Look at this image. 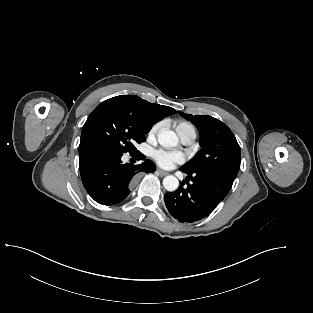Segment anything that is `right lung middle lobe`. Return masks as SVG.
<instances>
[{
    "mask_svg": "<svg viewBox=\"0 0 313 313\" xmlns=\"http://www.w3.org/2000/svg\"><path fill=\"white\" fill-rule=\"evenodd\" d=\"M151 129L132 107L118 101H104L84 125L85 143L89 147L112 148L130 154L134 144L145 141Z\"/></svg>",
    "mask_w": 313,
    "mask_h": 313,
    "instance_id": "obj_1",
    "label": "right lung middle lobe"
}]
</instances>
